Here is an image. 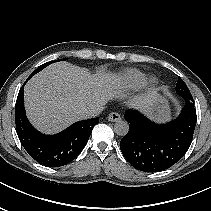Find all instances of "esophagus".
Masks as SVG:
<instances>
[{"mask_svg": "<svg viewBox=\"0 0 211 211\" xmlns=\"http://www.w3.org/2000/svg\"><path fill=\"white\" fill-rule=\"evenodd\" d=\"M121 119L120 114L117 112H112L108 115V120L111 122H117Z\"/></svg>", "mask_w": 211, "mask_h": 211, "instance_id": "obj_1", "label": "esophagus"}]
</instances>
